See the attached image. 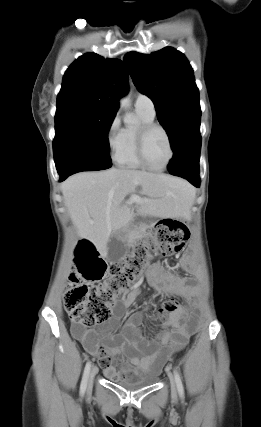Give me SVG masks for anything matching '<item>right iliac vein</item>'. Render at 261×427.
Returning a JSON list of instances; mask_svg holds the SVG:
<instances>
[{
    "mask_svg": "<svg viewBox=\"0 0 261 427\" xmlns=\"http://www.w3.org/2000/svg\"><path fill=\"white\" fill-rule=\"evenodd\" d=\"M98 373V368L96 366H93L90 370L88 379H87V387L88 390H90L93 386V381H94V377L95 375Z\"/></svg>",
    "mask_w": 261,
    "mask_h": 427,
    "instance_id": "63e3f726",
    "label": "right iliac vein"
}]
</instances>
